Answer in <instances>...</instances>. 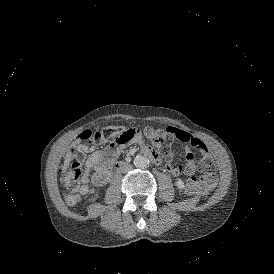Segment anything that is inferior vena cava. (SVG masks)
I'll return each instance as SVG.
<instances>
[{"label": "inferior vena cava", "mask_w": 274, "mask_h": 274, "mask_svg": "<svg viewBox=\"0 0 274 274\" xmlns=\"http://www.w3.org/2000/svg\"><path fill=\"white\" fill-rule=\"evenodd\" d=\"M124 167L127 168L129 171L132 170V166L130 164H126Z\"/></svg>", "instance_id": "inferior-vena-cava-1"}]
</instances>
